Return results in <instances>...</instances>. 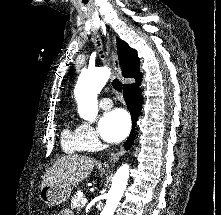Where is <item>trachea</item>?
<instances>
[{"label": "trachea", "mask_w": 221, "mask_h": 215, "mask_svg": "<svg viewBox=\"0 0 221 215\" xmlns=\"http://www.w3.org/2000/svg\"><path fill=\"white\" fill-rule=\"evenodd\" d=\"M100 54H102V52H100ZM102 57H103V55H102ZM112 85H113L114 89L117 90L118 92L122 91L121 82L117 78H115L113 80Z\"/></svg>", "instance_id": "obj_1"}]
</instances>
